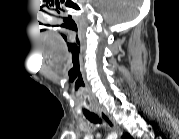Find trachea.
I'll return each instance as SVG.
<instances>
[{"label": "trachea", "instance_id": "obj_1", "mask_svg": "<svg viewBox=\"0 0 179 139\" xmlns=\"http://www.w3.org/2000/svg\"><path fill=\"white\" fill-rule=\"evenodd\" d=\"M84 115L90 122L101 123V120L99 119V117L95 115L94 113L84 112Z\"/></svg>", "mask_w": 179, "mask_h": 139}]
</instances>
